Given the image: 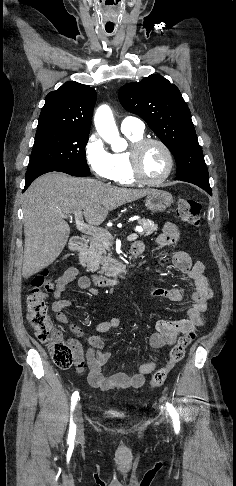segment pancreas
<instances>
[{"instance_id":"pancreas-1","label":"pancreas","mask_w":236,"mask_h":486,"mask_svg":"<svg viewBox=\"0 0 236 486\" xmlns=\"http://www.w3.org/2000/svg\"><path fill=\"white\" fill-rule=\"evenodd\" d=\"M138 223L144 227L140 235L149 236L158 229V225L149 219H140ZM112 242L113 238L111 235L107 239L93 237L88 250L80 257V264L86 267L88 272H97L106 276L113 275L116 264L111 257L110 247Z\"/></svg>"}]
</instances>
